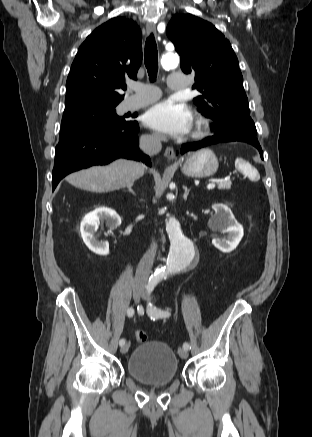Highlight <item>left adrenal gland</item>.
Masks as SVG:
<instances>
[{
	"mask_svg": "<svg viewBox=\"0 0 312 437\" xmlns=\"http://www.w3.org/2000/svg\"><path fill=\"white\" fill-rule=\"evenodd\" d=\"M183 189H184L183 199L187 200V196H188V194L190 192V189H188L187 186H183Z\"/></svg>",
	"mask_w": 312,
	"mask_h": 437,
	"instance_id": "obj_1",
	"label": "left adrenal gland"
}]
</instances>
